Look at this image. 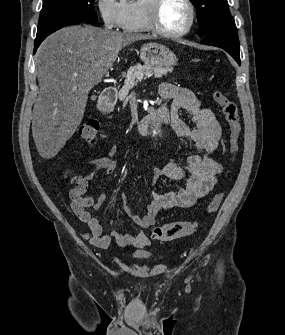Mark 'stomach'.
I'll return each instance as SVG.
<instances>
[{
	"label": "stomach",
	"instance_id": "stomach-1",
	"mask_svg": "<svg viewBox=\"0 0 285 335\" xmlns=\"http://www.w3.org/2000/svg\"><path fill=\"white\" fill-rule=\"evenodd\" d=\"M140 60L144 62L145 66H175L177 64V58L166 46L161 44H144L140 50Z\"/></svg>",
	"mask_w": 285,
	"mask_h": 335
}]
</instances>
